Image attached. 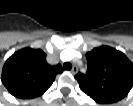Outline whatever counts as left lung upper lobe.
<instances>
[{
    "label": "left lung upper lobe",
    "mask_w": 133,
    "mask_h": 106,
    "mask_svg": "<svg viewBox=\"0 0 133 106\" xmlns=\"http://www.w3.org/2000/svg\"><path fill=\"white\" fill-rule=\"evenodd\" d=\"M87 73H78L80 89L97 103L123 99L133 86V64L122 52L101 46L87 52Z\"/></svg>",
    "instance_id": "left-lung-upper-lobe-1"
}]
</instances>
